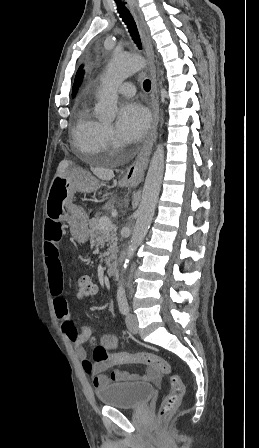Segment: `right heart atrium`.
I'll use <instances>...</instances> for the list:
<instances>
[{"mask_svg":"<svg viewBox=\"0 0 259 448\" xmlns=\"http://www.w3.org/2000/svg\"><path fill=\"white\" fill-rule=\"evenodd\" d=\"M120 147V140L113 128L109 125H104L101 133V148L105 153L115 151Z\"/></svg>","mask_w":259,"mask_h":448,"instance_id":"obj_1","label":"right heart atrium"}]
</instances>
